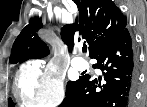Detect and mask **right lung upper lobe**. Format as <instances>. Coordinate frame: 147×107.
Masks as SVG:
<instances>
[{"mask_svg": "<svg viewBox=\"0 0 147 107\" xmlns=\"http://www.w3.org/2000/svg\"><path fill=\"white\" fill-rule=\"evenodd\" d=\"M79 17L73 24L65 25L61 38L68 49L74 47V40L86 39L89 57L115 41L126 29L127 19L112 0H74ZM42 28V20L31 19L15 40L10 63H22L28 59H39L49 54L46 44L39 38L37 31Z\"/></svg>", "mask_w": 147, "mask_h": 107, "instance_id": "cb5924a9", "label": "right lung upper lobe"}]
</instances>
